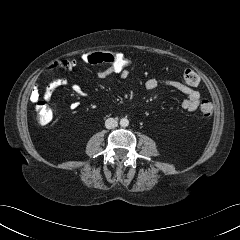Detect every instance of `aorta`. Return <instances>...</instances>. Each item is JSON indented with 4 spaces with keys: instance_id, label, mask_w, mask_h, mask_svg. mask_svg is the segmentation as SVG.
<instances>
[{
    "instance_id": "1",
    "label": "aorta",
    "mask_w": 240,
    "mask_h": 240,
    "mask_svg": "<svg viewBox=\"0 0 240 240\" xmlns=\"http://www.w3.org/2000/svg\"><path fill=\"white\" fill-rule=\"evenodd\" d=\"M129 125V120L127 118H122L120 120V126L121 127H127Z\"/></svg>"
}]
</instances>
